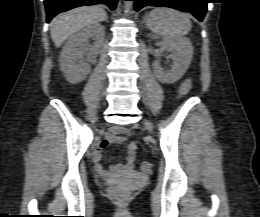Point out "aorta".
Here are the masks:
<instances>
[{
    "label": "aorta",
    "mask_w": 260,
    "mask_h": 217,
    "mask_svg": "<svg viewBox=\"0 0 260 217\" xmlns=\"http://www.w3.org/2000/svg\"><path fill=\"white\" fill-rule=\"evenodd\" d=\"M131 7H132V2L131 1H126L125 2V6H124L126 12H129Z\"/></svg>",
    "instance_id": "aorta-1"
}]
</instances>
